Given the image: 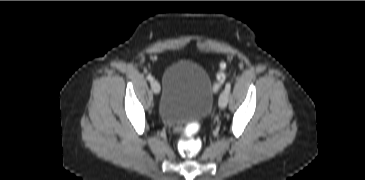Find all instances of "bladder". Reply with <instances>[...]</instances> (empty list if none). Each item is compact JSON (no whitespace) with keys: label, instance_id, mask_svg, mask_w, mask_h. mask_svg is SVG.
Masks as SVG:
<instances>
[{"label":"bladder","instance_id":"31cf9c89","mask_svg":"<svg viewBox=\"0 0 365 180\" xmlns=\"http://www.w3.org/2000/svg\"><path fill=\"white\" fill-rule=\"evenodd\" d=\"M214 97L211 78L199 63L192 60L177 61L163 75L159 118L174 125L205 118L211 112Z\"/></svg>","mask_w":365,"mask_h":180}]
</instances>
